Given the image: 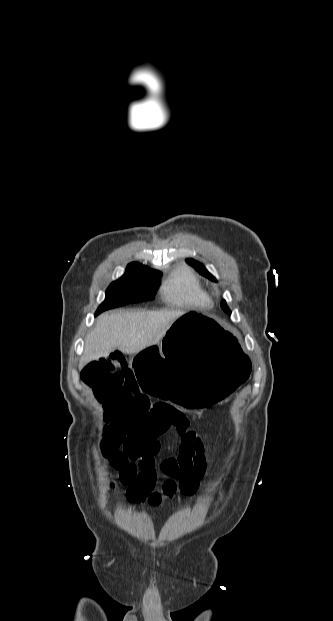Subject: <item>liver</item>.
Returning a JSON list of instances; mask_svg holds the SVG:
<instances>
[{
    "instance_id": "liver-1",
    "label": "liver",
    "mask_w": 333,
    "mask_h": 621,
    "mask_svg": "<svg viewBox=\"0 0 333 621\" xmlns=\"http://www.w3.org/2000/svg\"><path fill=\"white\" fill-rule=\"evenodd\" d=\"M184 314L180 310L116 311L100 315L87 334L79 367L107 356L118 348L135 355L158 344L170 326Z\"/></svg>"
}]
</instances>
